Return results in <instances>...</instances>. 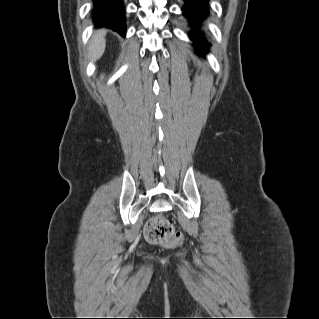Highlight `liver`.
<instances>
[{
  "mask_svg": "<svg viewBox=\"0 0 319 319\" xmlns=\"http://www.w3.org/2000/svg\"><path fill=\"white\" fill-rule=\"evenodd\" d=\"M105 30H99L97 31L91 41L90 47H89V57L92 60H97L101 57V55L104 53L105 50Z\"/></svg>",
  "mask_w": 319,
  "mask_h": 319,
  "instance_id": "1",
  "label": "liver"
}]
</instances>
